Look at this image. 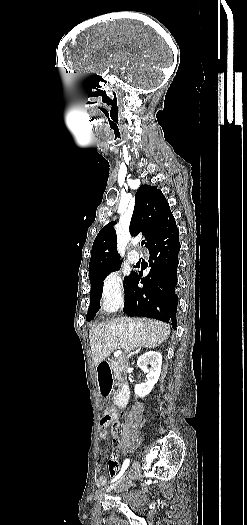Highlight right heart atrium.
<instances>
[{"mask_svg": "<svg viewBox=\"0 0 247 525\" xmlns=\"http://www.w3.org/2000/svg\"><path fill=\"white\" fill-rule=\"evenodd\" d=\"M100 306L104 312H114L118 310L124 300L123 285L119 274L109 273L102 281L100 287Z\"/></svg>", "mask_w": 247, "mask_h": 525, "instance_id": "right-heart-atrium-1", "label": "right heart atrium"}]
</instances>
